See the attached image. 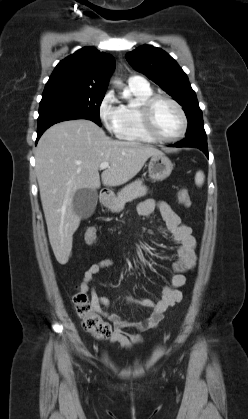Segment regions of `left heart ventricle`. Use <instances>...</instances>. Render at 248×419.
Wrapping results in <instances>:
<instances>
[{"instance_id":"1","label":"left heart ventricle","mask_w":248,"mask_h":419,"mask_svg":"<svg viewBox=\"0 0 248 419\" xmlns=\"http://www.w3.org/2000/svg\"><path fill=\"white\" fill-rule=\"evenodd\" d=\"M155 131L163 137H172L179 133L182 121L177 109L167 101H158L152 110Z\"/></svg>"}]
</instances>
